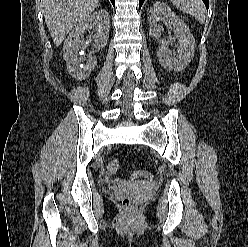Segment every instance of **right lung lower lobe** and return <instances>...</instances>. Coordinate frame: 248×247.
<instances>
[{
    "label": "right lung lower lobe",
    "mask_w": 248,
    "mask_h": 247,
    "mask_svg": "<svg viewBox=\"0 0 248 247\" xmlns=\"http://www.w3.org/2000/svg\"><path fill=\"white\" fill-rule=\"evenodd\" d=\"M112 4L115 6V0H111Z\"/></svg>",
    "instance_id": "1"
}]
</instances>
